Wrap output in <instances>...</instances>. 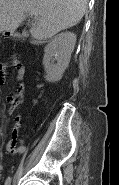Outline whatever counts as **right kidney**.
Listing matches in <instances>:
<instances>
[{"label":"right kidney","mask_w":119,"mask_h":185,"mask_svg":"<svg viewBox=\"0 0 119 185\" xmlns=\"http://www.w3.org/2000/svg\"><path fill=\"white\" fill-rule=\"evenodd\" d=\"M76 43V35L71 32L55 36L44 49L43 65L48 82H57L62 78L70 62Z\"/></svg>","instance_id":"ca27d5eb"}]
</instances>
